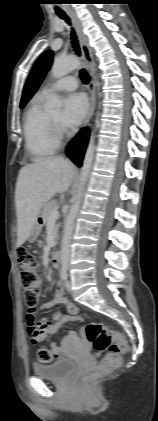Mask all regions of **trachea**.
I'll return each instance as SVG.
<instances>
[{"label":"trachea","instance_id":"1","mask_svg":"<svg viewBox=\"0 0 158 421\" xmlns=\"http://www.w3.org/2000/svg\"><path fill=\"white\" fill-rule=\"evenodd\" d=\"M57 15L61 19L65 20L68 24H70V19L68 18V16L66 14H64V13H57ZM71 40H72V45H73V48H74L75 52L77 54H80V48H79L77 36H76L74 30L71 31ZM80 78H81V80H82V82L84 84H88L89 83L90 77H89V75H88V73L86 72L85 69H82L80 71Z\"/></svg>","mask_w":158,"mask_h":421}]
</instances>
